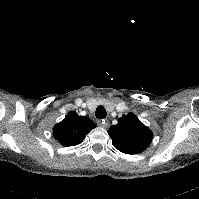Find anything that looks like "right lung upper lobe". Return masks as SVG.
<instances>
[{
    "label": "right lung upper lobe",
    "mask_w": 199,
    "mask_h": 199,
    "mask_svg": "<svg viewBox=\"0 0 199 199\" xmlns=\"http://www.w3.org/2000/svg\"><path fill=\"white\" fill-rule=\"evenodd\" d=\"M96 126L90 118L70 112L54 126L53 134L63 146H75Z\"/></svg>",
    "instance_id": "right-lung-upper-lobe-1"
}]
</instances>
